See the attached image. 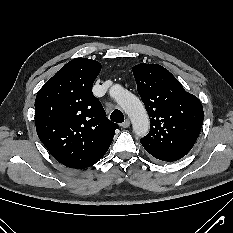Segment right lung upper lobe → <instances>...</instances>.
Returning a JSON list of instances; mask_svg holds the SVG:
<instances>
[{
	"instance_id": "cb5924a9",
	"label": "right lung upper lobe",
	"mask_w": 233,
	"mask_h": 233,
	"mask_svg": "<svg viewBox=\"0 0 233 233\" xmlns=\"http://www.w3.org/2000/svg\"><path fill=\"white\" fill-rule=\"evenodd\" d=\"M100 70L95 60L75 58L36 96L38 137L58 162L70 168L84 169L98 162L118 129L92 93Z\"/></svg>"
}]
</instances>
